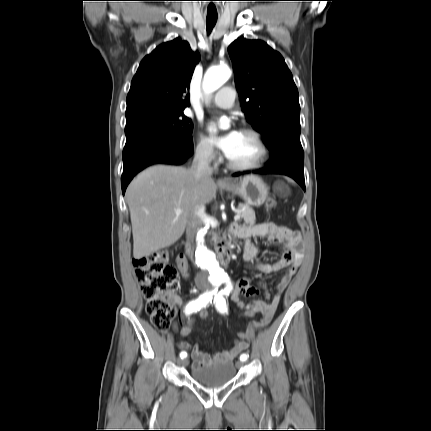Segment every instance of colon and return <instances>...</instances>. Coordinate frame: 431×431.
I'll use <instances>...</instances> for the list:
<instances>
[{
	"instance_id": "colon-1",
	"label": "colon",
	"mask_w": 431,
	"mask_h": 431,
	"mask_svg": "<svg viewBox=\"0 0 431 431\" xmlns=\"http://www.w3.org/2000/svg\"><path fill=\"white\" fill-rule=\"evenodd\" d=\"M274 207L275 201L269 199L266 202V208L272 210ZM133 266L135 276L146 299V312L152 325L159 330H166L173 316L170 294L179 285L176 267L169 263L168 254L165 252H156L136 258L133 260ZM242 315L246 319L256 318L254 310H242ZM198 316L201 324H208L209 315L206 309H200ZM236 318H241V315H236ZM197 325V315H191V318L183 325V329H180V338H189ZM245 335L246 332L243 329L238 331L239 340H244Z\"/></svg>"
}]
</instances>
